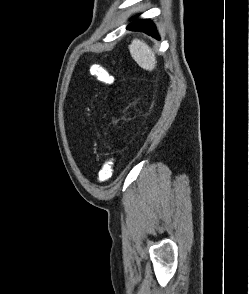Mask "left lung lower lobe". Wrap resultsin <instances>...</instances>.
I'll return each instance as SVG.
<instances>
[{
	"label": "left lung lower lobe",
	"instance_id": "0a47b994",
	"mask_svg": "<svg viewBox=\"0 0 249 294\" xmlns=\"http://www.w3.org/2000/svg\"><path fill=\"white\" fill-rule=\"evenodd\" d=\"M127 29L135 30V31H143L148 33L149 35L159 39L156 29L149 20H137L134 23L130 24Z\"/></svg>",
	"mask_w": 249,
	"mask_h": 294
}]
</instances>
